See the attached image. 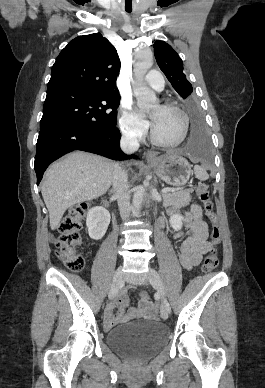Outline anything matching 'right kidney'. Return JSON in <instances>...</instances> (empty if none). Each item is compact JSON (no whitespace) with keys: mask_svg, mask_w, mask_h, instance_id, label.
<instances>
[{"mask_svg":"<svg viewBox=\"0 0 265 388\" xmlns=\"http://www.w3.org/2000/svg\"><path fill=\"white\" fill-rule=\"evenodd\" d=\"M110 220L111 218L108 210H105L102 206L91 208L87 214L86 220L90 238H92V240H101L106 234Z\"/></svg>","mask_w":265,"mask_h":388,"instance_id":"obj_1","label":"right kidney"}]
</instances>
